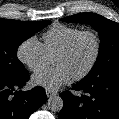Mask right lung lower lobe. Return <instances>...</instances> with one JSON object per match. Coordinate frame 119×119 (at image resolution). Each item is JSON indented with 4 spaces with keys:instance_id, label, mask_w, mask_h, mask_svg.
<instances>
[{
    "instance_id": "obj_1",
    "label": "right lung lower lobe",
    "mask_w": 119,
    "mask_h": 119,
    "mask_svg": "<svg viewBox=\"0 0 119 119\" xmlns=\"http://www.w3.org/2000/svg\"><path fill=\"white\" fill-rule=\"evenodd\" d=\"M28 71L18 77L0 79V119H29L46 101L45 90L16 91L29 80Z\"/></svg>"
}]
</instances>
